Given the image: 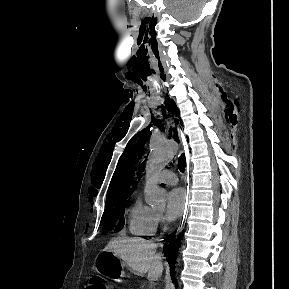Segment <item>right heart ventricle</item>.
<instances>
[{
	"label": "right heart ventricle",
	"mask_w": 289,
	"mask_h": 289,
	"mask_svg": "<svg viewBox=\"0 0 289 289\" xmlns=\"http://www.w3.org/2000/svg\"><path fill=\"white\" fill-rule=\"evenodd\" d=\"M128 228L135 236H152L157 230V215L137 197L127 212Z\"/></svg>",
	"instance_id": "obj_1"
}]
</instances>
